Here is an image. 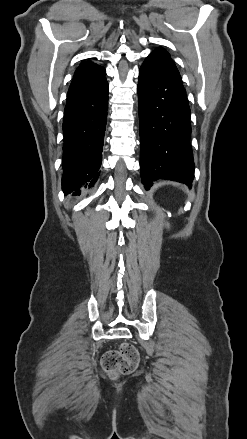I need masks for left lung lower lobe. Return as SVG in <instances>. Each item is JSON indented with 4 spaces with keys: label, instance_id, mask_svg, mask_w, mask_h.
Wrapping results in <instances>:
<instances>
[{
    "label": "left lung lower lobe",
    "instance_id": "left-lung-lower-lobe-1",
    "mask_svg": "<svg viewBox=\"0 0 247 439\" xmlns=\"http://www.w3.org/2000/svg\"><path fill=\"white\" fill-rule=\"evenodd\" d=\"M138 108L143 184L168 179L190 185L194 177L190 108L182 80L146 59L139 70Z\"/></svg>",
    "mask_w": 247,
    "mask_h": 439
}]
</instances>
